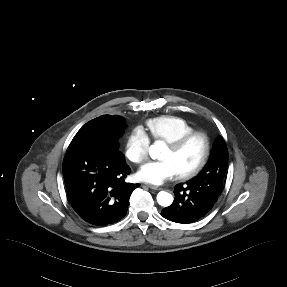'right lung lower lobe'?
<instances>
[{"instance_id":"right-lung-lower-lobe-1","label":"right lung lower lobe","mask_w":287,"mask_h":287,"mask_svg":"<svg viewBox=\"0 0 287 287\" xmlns=\"http://www.w3.org/2000/svg\"><path fill=\"white\" fill-rule=\"evenodd\" d=\"M130 172L120 151L94 147L67 150L63 177L72 208L95 226L119 221L127 212L132 191L140 186L124 181Z\"/></svg>"}]
</instances>
